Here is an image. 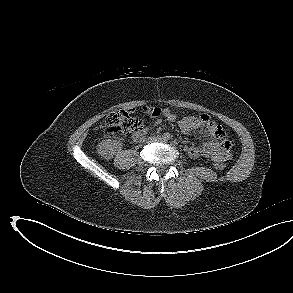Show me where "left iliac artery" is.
Returning a JSON list of instances; mask_svg holds the SVG:
<instances>
[{
  "label": "left iliac artery",
  "mask_w": 293,
  "mask_h": 293,
  "mask_svg": "<svg viewBox=\"0 0 293 293\" xmlns=\"http://www.w3.org/2000/svg\"><path fill=\"white\" fill-rule=\"evenodd\" d=\"M172 143L174 144V145H176L177 144V142L174 140V141H172Z\"/></svg>",
  "instance_id": "1"
}]
</instances>
